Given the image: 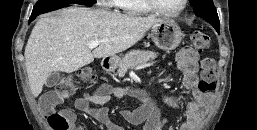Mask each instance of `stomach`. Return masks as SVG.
<instances>
[{
    "label": "stomach",
    "instance_id": "obj_1",
    "mask_svg": "<svg viewBox=\"0 0 257 130\" xmlns=\"http://www.w3.org/2000/svg\"><path fill=\"white\" fill-rule=\"evenodd\" d=\"M183 33L174 20L166 19L152 27L151 38L153 43L165 51L174 50L182 41ZM120 63L117 55L103 58L102 66L108 71L115 70Z\"/></svg>",
    "mask_w": 257,
    "mask_h": 130
}]
</instances>
